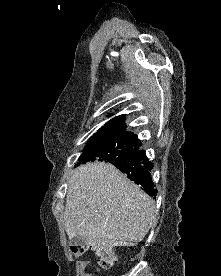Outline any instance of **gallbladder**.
I'll return each instance as SVG.
<instances>
[{
    "label": "gallbladder",
    "mask_w": 221,
    "mask_h": 276,
    "mask_svg": "<svg viewBox=\"0 0 221 276\" xmlns=\"http://www.w3.org/2000/svg\"><path fill=\"white\" fill-rule=\"evenodd\" d=\"M69 244L70 245H77L81 246L84 244L83 240L80 237H73L69 239Z\"/></svg>",
    "instance_id": "bac80fb5"
}]
</instances>
